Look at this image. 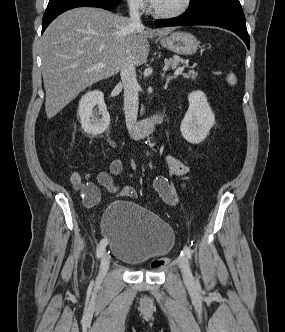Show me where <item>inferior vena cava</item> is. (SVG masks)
Instances as JSON below:
<instances>
[{"label": "inferior vena cava", "instance_id": "602c4592", "mask_svg": "<svg viewBox=\"0 0 285 332\" xmlns=\"http://www.w3.org/2000/svg\"><path fill=\"white\" fill-rule=\"evenodd\" d=\"M139 7H140L139 0H133L129 6L130 9L129 15L131 20V25L133 27H136L141 24ZM120 75L122 83L124 85V111H125L126 126L129 132H131L137 121L138 104H139V99H138L139 85L136 78L135 65L130 59H127L125 63L122 65Z\"/></svg>", "mask_w": 285, "mask_h": 332}]
</instances>
